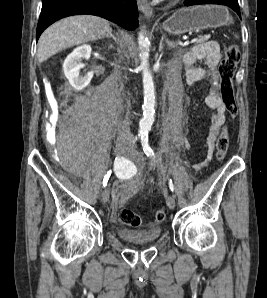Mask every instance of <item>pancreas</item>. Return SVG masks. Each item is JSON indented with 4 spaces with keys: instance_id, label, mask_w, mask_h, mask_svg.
<instances>
[{
    "instance_id": "obj_1",
    "label": "pancreas",
    "mask_w": 267,
    "mask_h": 298,
    "mask_svg": "<svg viewBox=\"0 0 267 298\" xmlns=\"http://www.w3.org/2000/svg\"><path fill=\"white\" fill-rule=\"evenodd\" d=\"M206 40H208L207 36H200L197 40V43H204Z\"/></svg>"
}]
</instances>
